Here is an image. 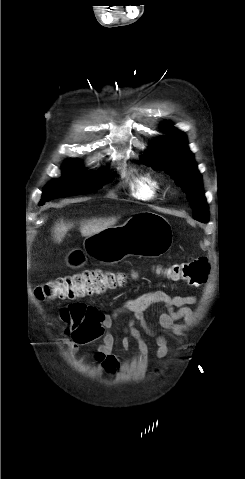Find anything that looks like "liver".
<instances>
[{
    "instance_id": "1",
    "label": "liver",
    "mask_w": 245,
    "mask_h": 479,
    "mask_svg": "<svg viewBox=\"0 0 245 479\" xmlns=\"http://www.w3.org/2000/svg\"><path fill=\"white\" fill-rule=\"evenodd\" d=\"M118 218H92L81 221L80 232L83 237H89L99 233L107 228H111L117 222ZM73 227V223L60 221L57 222L53 228V237L55 241L61 242L69 229Z\"/></svg>"
}]
</instances>
